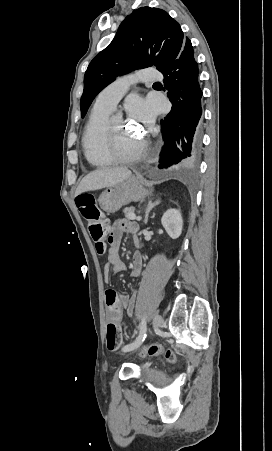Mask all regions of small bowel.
<instances>
[{
	"instance_id": "small-bowel-1",
	"label": "small bowel",
	"mask_w": 272,
	"mask_h": 451,
	"mask_svg": "<svg viewBox=\"0 0 272 451\" xmlns=\"http://www.w3.org/2000/svg\"><path fill=\"white\" fill-rule=\"evenodd\" d=\"M109 233V246L106 249L107 262L104 268V280L110 282L111 271L119 273L126 270V265L120 257L119 249L124 235L129 234L138 242L136 234L138 231V224L120 219L107 227ZM144 264L142 253L137 252L132 257V264L130 275L133 278L140 276ZM105 303L107 308V319L112 318L117 324H121L123 320V313L126 312L129 317H132L135 309V296L125 294H117L114 290H107L105 293Z\"/></svg>"
}]
</instances>
